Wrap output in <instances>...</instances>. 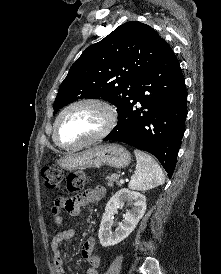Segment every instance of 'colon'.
<instances>
[{"label": "colon", "instance_id": "5ec220e1", "mask_svg": "<svg viewBox=\"0 0 221 274\" xmlns=\"http://www.w3.org/2000/svg\"><path fill=\"white\" fill-rule=\"evenodd\" d=\"M42 178L44 184L49 189L58 188L62 181L63 175L60 169L55 167H45L42 169ZM84 177L80 173L70 174L67 178L68 191L75 193L82 188Z\"/></svg>", "mask_w": 221, "mask_h": 274}]
</instances>
